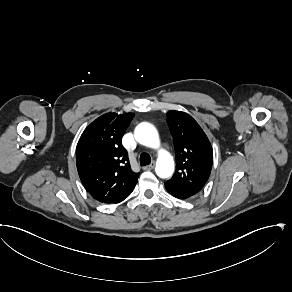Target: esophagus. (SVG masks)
<instances>
[{"label":"esophagus","mask_w":292,"mask_h":292,"mask_svg":"<svg viewBox=\"0 0 292 292\" xmlns=\"http://www.w3.org/2000/svg\"><path fill=\"white\" fill-rule=\"evenodd\" d=\"M154 166H155V162L153 161V162H151L150 165L144 166L143 170H152L154 168Z\"/></svg>","instance_id":"1"}]
</instances>
